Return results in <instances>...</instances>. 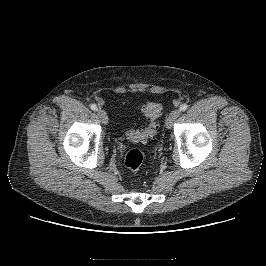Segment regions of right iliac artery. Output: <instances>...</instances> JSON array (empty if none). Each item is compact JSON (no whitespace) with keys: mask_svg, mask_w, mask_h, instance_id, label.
<instances>
[{"mask_svg":"<svg viewBox=\"0 0 266 266\" xmlns=\"http://www.w3.org/2000/svg\"><path fill=\"white\" fill-rule=\"evenodd\" d=\"M90 108H91L93 111H97V110H98L96 104H91Z\"/></svg>","mask_w":266,"mask_h":266,"instance_id":"82829eb1","label":"right iliac artery"}]
</instances>
